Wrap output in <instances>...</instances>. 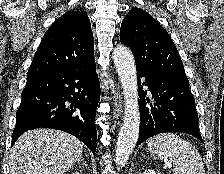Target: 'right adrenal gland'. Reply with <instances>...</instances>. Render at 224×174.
Masks as SVG:
<instances>
[{"instance_id": "right-adrenal-gland-1", "label": "right adrenal gland", "mask_w": 224, "mask_h": 174, "mask_svg": "<svg viewBox=\"0 0 224 174\" xmlns=\"http://www.w3.org/2000/svg\"><path fill=\"white\" fill-rule=\"evenodd\" d=\"M81 161L83 162V164L85 165V167H86V169H87V164H86V162L84 161V158H83V157H81V158L77 161V164H79Z\"/></svg>"}]
</instances>
